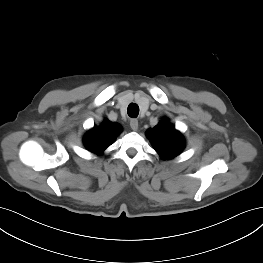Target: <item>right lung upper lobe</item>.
Here are the masks:
<instances>
[{"label":"right lung upper lobe","instance_id":"obj_1","mask_svg":"<svg viewBox=\"0 0 263 263\" xmlns=\"http://www.w3.org/2000/svg\"><path fill=\"white\" fill-rule=\"evenodd\" d=\"M122 131L121 126L117 123L105 120L101 126L90 129L84 136V145L87 150L101 154Z\"/></svg>","mask_w":263,"mask_h":263}]
</instances>
